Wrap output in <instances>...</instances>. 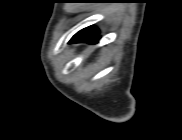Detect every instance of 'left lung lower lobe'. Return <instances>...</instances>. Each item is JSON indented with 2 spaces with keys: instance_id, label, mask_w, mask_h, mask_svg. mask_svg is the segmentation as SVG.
I'll use <instances>...</instances> for the list:
<instances>
[{
  "instance_id": "0a47b994",
  "label": "left lung lower lobe",
  "mask_w": 182,
  "mask_h": 140,
  "mask_svg": "<svg viewBox=\"0 0 182 140\" xmlns=\"http://www.w3.org/2000/svg\"><path fill=\"white\" fill-rule=\"evenodd\" d=\"M99 39L98 29L94 26H89L76 33L69 43L86 42L93 44L98 42Z\"/></svg>"
}]
</instances>
